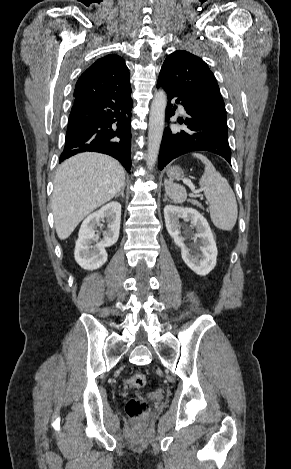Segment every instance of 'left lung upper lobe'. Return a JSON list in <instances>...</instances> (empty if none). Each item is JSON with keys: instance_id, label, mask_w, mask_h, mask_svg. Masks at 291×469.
<instances>
[{"instance_id": "1", "label": "left lung upper lobe", "mask_w": 291, "mask_h": 469, "mask_svg": "<svg viewBox=\"0 0 291 469\" xmlns=\"http://www.w3.org/2000/svg\"><path fill=\"white\" fill-rule=\"evenodd\" d=\"M158 82L205 106L226 114L217 81L207 64L199 57L178 50L167 56Z\"/></svg>"}]
</instances>
